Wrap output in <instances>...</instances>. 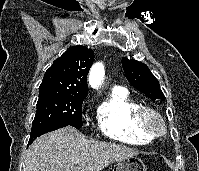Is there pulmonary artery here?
Here are the masks:
<instances>
[{
	"label": "pulmonary artery",
	"instance_id": "pulmonary-artery-1",
	"mask_svg": "<svg viewBox=\"0 0 199 171\" xmlns=\"http://www.w3.org/2000/svg\"><path fill=\"white\" fill-rule=\"evenodd\" d=\"M113 88L115 89V88H122V87H119V86H113Z\"/></svg>",
	"mask_w": 199,
	"mask_h": 171
}]
</instances>
